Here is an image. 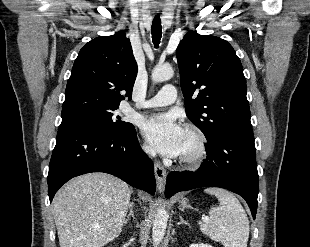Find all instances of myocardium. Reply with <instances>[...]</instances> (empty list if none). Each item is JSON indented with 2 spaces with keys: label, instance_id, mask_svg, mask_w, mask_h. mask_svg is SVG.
<instances>
[{
  "label": "myocardium",
  "instance_id": "f54148a6",
  "mask_svg": "<svg viewBox=\"0 0 310 247\" xmlns=\"http://www.w3.org/2000/svg\"><path fill=\"white\" fill-rule=\"evenodd\" d=\"M184 131L193 135L196 141V147L190 153L180 154L179 161L190 166L197 165L207 154V137L203 130L194 124H187L184 127Z\"/></svg>",
  "mask_w": 310,
  "mask_h": 247
}]
</instances>
